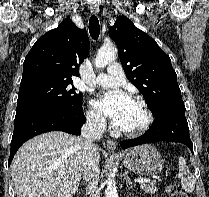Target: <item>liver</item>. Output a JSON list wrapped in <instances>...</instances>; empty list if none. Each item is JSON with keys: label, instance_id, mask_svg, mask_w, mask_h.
<instances>
[{"label": "liver", "instance_id": "6515ba94", "mask_svg": "<svg viewBox=\"0 0 209 197\" xmlns=\"http://www.w3.org/2000/svg\"><path fill=\"white\" fill-rule=\"evenodd\" d=\"M96 157L99 161L98 149ZM84 161L76 136L60 131L35 136L18 150L11 165L17 197H72Z\"/></svg>", "mask_w": 209, "mask_h": 197}]
</instances>
